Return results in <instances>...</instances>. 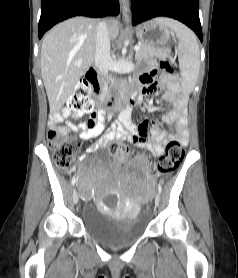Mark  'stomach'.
Segmentation results:
<instances>
[{"instance_id": "0dacf381", "label": "stomach", "mask_w": 238, "mask_h": 278, "mask_svg": "<svg viewBox=\"0 0 238 278\" xmlns=\"http://www.w3.org/2000/svg\"><path fill=\"white\" fill-rule=\"evenodd\" d=\"M138 39L147 45L162 48L169 44L173 32L159 19H153L142 23L135 29ZM164 49V48H163Z\"/></svg>"}]
</instances>
